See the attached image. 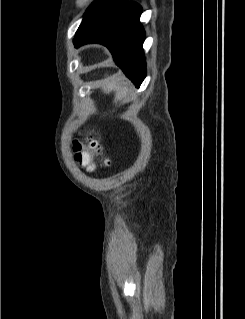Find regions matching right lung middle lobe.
Listing matches in <instances>:
<instances>
[{
    "label": "right lung middle lobe",
    "instance_id": "1",
    "mask_svg": "<svg viewBox=\"0 0 245 319\" xmlns=\"http://www.w3.org/2000/svg\"><path fill=\"white\" fill-rule=\"evenodd\" d=\"M126 0H96L86 11L80 28H89L125 6Z\"/></svg>",
    "mask_w": 245,
    "mask_h": 319
}]
</instances>
